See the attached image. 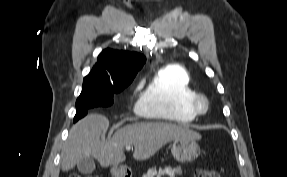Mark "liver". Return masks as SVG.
<instances>
[{
    "label": "liver",
    "instance_id": "6515ba94",
    "mask_svg": "<svg viewBox=\"0 0 287 177\" xmlns=\"http://www.w3.org/2000/svg\"><path fill=\"white\" fill-rule=\"evenodd\" d=\"M109 120L100 114H90L78 121L69 131L61 152L62 171L74 168L86 156L94 157L102 167L118 165L126 156L124 147L134 146L133 158L146 160L172 140L201 139V135L185 126L165 122H137L118 129L105 140Z\"/></svg>",
    "mask_w": 287,
    "mask_h": 177
}]
</instances>
